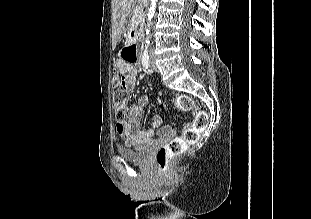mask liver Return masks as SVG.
Masks as SVG:
<instances>
[{
    "mask_svg": "<svg viewBox=\"0 0 311 219\" xmlns=\"http://www.w3.org/2000/svg\"><path fill=\"white\" fill-rule=\"evenodd\" d=\"M135 0H112V44L116 46Z\"/></svg>",
    "mask_w": 311,
    "mask_h": 219,
    "instance_id": "6515ba94",
    "label": "liver"
}]
</instances>
